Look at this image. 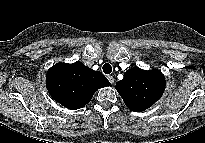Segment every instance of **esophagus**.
I'll use <instances>...</instances> for the list:
<instances>
[{"mask_svg": "<svg viewBox=\"0 0 205 143\" xmlns=\"http://www.w3.org/2000/svg\"><path fill=\"white\" fill-rule=\"evenodd\" d=\"M108 80L111 84H113L115 81L113 76H108Z\"/></svg>", "mask_w": 205, "mask_h": 143, "instance_id": "1", "label": "esophagus"}]
</instances>
